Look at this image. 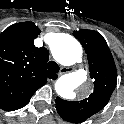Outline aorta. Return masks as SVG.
<instances>
[{
	"label": "aorta",
	"mask_w": 124,
	"mask_h": 124,
	"mask_svg": "<svg viewBox=\"0 0 124 124\" xmlns=\"http://www.w3.org/2000/svg\"><path fill=\"white\" fill-rule=\"evenodd\" d=\"M54 58L62 65H73L81 61L82 47L69 34H58L51 47ZM87 72L83 69L59 77L55 83L56 93L64 99L76 97V90L86 81Z\"/></svg>",
	"instance_id": "aorta-1"
}]
</instances>
